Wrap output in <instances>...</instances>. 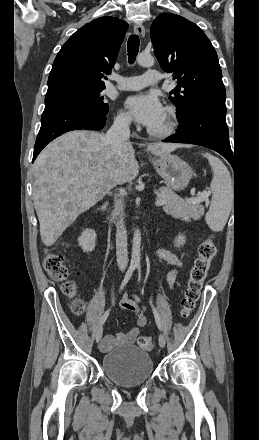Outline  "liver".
Listing matches in <instances>:
<instances>
[{
    "instance_id": "liver-1",
    "label": "liver",
    "mask_w": 259,
    "mask_h": 440,
    "mask_svg": "<svg viewBox=\"0 0 259 440\" xmlns=\"http://www.w3.org/2000/svg\"><path fill=\"white\" fill-rule=\"evenodd\" d=\"M177 147L153 143L146 151L164 157ZM33 172V200L41 240L49 247L114 186L135 179L139 164L131 143L116 150L104 134L77 130L47 145L37 157Z\"/></svg>"
}]
</instances>
